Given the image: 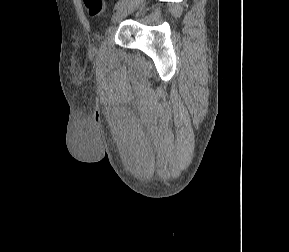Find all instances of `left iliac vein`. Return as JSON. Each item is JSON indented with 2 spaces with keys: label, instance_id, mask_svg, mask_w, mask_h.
<instances>
[{
  "label": "left iliac vein",
  "instance_id": "1",
  "mask_svg": "<svg viewBox=\"0 0 289 252\" xmlns=\"http://www.w3.org/2000/svg\"><path fill=\"white\" fill-rule=\"evenodd\" d=\"M143 0H128L127 3L117 9L112 16V23L116 24L127 17L129 14L133 13L142 3Z\"/></svg>",
  "mask_w": 289,
  "mask_h": 252
}]
</instances>
